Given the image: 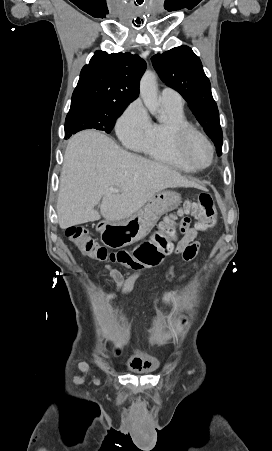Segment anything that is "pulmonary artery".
<instances>
[{
    "instance_id": "1",
    "label": "pulmonary artery",
    "mask_w": 272,
    "mask_h": 451,
    "mask_svg": "<svg viewBox=\"0 0 272 451\" xmlns=\"http://www.w3.org/2000/svg\"><path fill=\"white\" fill-rule=\"evenodd\" d=\"M160 100L179 110H182L184 105V101L179 93L168 88H165L160 92Z\"/></svg>"
}]
</instances>
